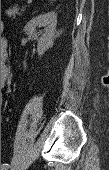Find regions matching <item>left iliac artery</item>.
<instances>
[{
    "instance_id": "1",
    "label": "left iliac artery",
    "mask_w": 109,
    "mask_h": 170,
    "mask_svg": "<svg viewBox=\"0 0 109 170\" xmlns=\"http://www.w3.org/2000/svg\"><path fill=\"white\" fill-rule=\"evenodd\" d=\"M10 167V164H3L1 170H7Z\"/></svg>"
}]
</instances>
